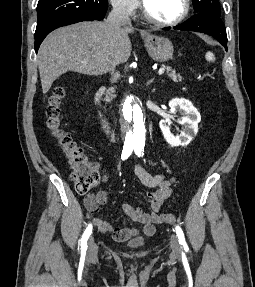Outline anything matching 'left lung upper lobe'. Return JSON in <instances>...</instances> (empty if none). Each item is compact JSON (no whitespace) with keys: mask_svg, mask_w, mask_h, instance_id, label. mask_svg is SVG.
I'll use <instances>...</instances> for the list:
<instances>
[{"mask_svg":"<svg viewBox=\"0 0 255 287\" xmlns=\"http://www.w3.org/2000/svg\"><path fill=\"white\" fill-rule=\"evenodd\" d=\"M193 6L197 13H210L220 17L219 0H193Z\"/></svg>","mask_w":255,"mask_h":287,"instance_id":"5c2ea615","label":"left lung upper lobe"}]
</instances>
